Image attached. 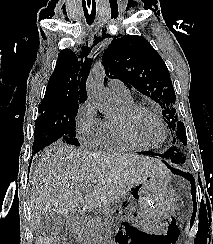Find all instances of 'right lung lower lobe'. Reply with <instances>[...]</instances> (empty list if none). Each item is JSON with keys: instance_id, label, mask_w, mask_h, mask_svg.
Instances as JSON below:
<instances>
[{"instance_id": "obj_1", "label": "right lung lower lobe", "mask_w": 213, "mask_h": 244, "mask_svg": "<svg viewBox=\"0 0 213 244\" xmlns=\"http://www.w3.org/2000/svg\"><path fill=\"white\" fill-rule=\"evenodd\" d=\"M39 151H40V150H39ZM36 152H38V151H33L32 153L35 154Z\"/></svg>"}]
</instances>
